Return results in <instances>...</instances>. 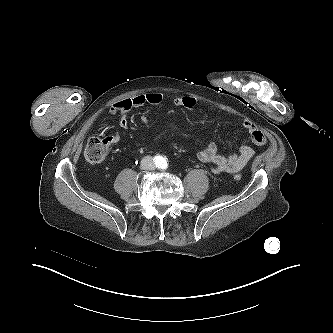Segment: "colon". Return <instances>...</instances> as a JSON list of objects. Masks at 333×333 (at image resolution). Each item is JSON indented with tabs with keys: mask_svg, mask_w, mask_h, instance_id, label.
I'll return each mask as SVG.
<instances>
[{
	"mask_svg": "<svg viewBox=\"0 0 333 333\" xmlns=\"http://www.w3.org/2000/svg\"><path fill=\"white\" fill-rule=\"evenodd\" d=\"M112 143V137H91L88 140L84 150L85 159L92 164H99L103 162L109 154ZM241 178L242 176L240 174L234 175L235 180H240Z\"/></svg>",
	"mask_w": 333,
	"mask_h": 333,
	"instance_id": "colon-1",
	"label": "colon"
}]
</instances>
